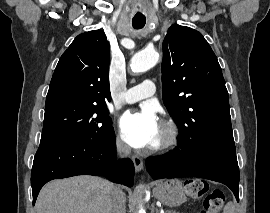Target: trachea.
I'll use <instances>...</instances> for the list:
<instances>
[{"label": "trachea", "instance_id": "3493384b", "mask_svg": "<svg viewBox=\"0 0 270 213\" xmlns=\"http://www.w3.org/2000/svg\"><path fill=\"white\" fill-rule=\"evenodd\" d=\"M146 19L145 18H139V19H133L132 25L135 29H141L145 26Z\"/></svg>", "mask_w": 270, "mask_h": 213}]
</instances>
